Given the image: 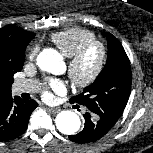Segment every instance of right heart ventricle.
<instances>
[{
    "instance_id": "1",
    "label": "right heart ventricle",
    "mask_w": 153,
    "mask_h": 153,
    "mask_svg": "<svg viewBox=\"0 0 153 153\" xmlns=\"http://www.w3.org/2000/svg\"><path fill=\"white\" fill-rule=\"evenodd\" d=\"M50 39L60 52L69 58L83 43L96 39V35L86 28L71 27L53 33Z\"/></svg>"
}]
</instances>
